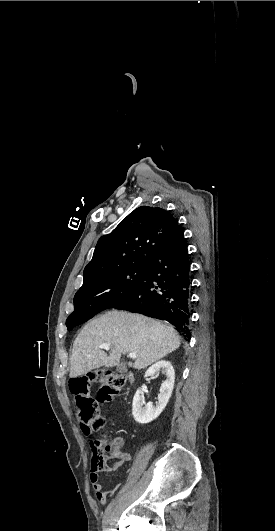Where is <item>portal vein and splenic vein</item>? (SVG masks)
Wrapping results in <instances>:
<instances>
[{"label":"portal vein and splenic vein","instance_id":"1","mask_svg":"<svg viewBox=\"0 0 275 531\" xmlns=\"http://www.w3.org/2000/svg\"><path fill=\"white\" fill-rule=\"evenodd\" d=\"M99 349H105V351H109L110 345L108 343H104V345H100ZM130 359H137L135 353H129Z\"/></svg>","mask_w":275,"mask_h":531}]
</instances>
